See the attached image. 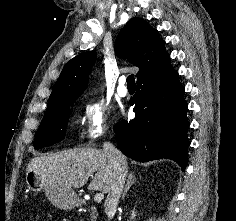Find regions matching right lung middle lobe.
<instances>
[{
    "mask_svg": "<svg viewBox=\"0 0 236 221\" xmlns=\"http://www.w3.org/2000/svg\"><path fill=\"white\" fill-rule=\"evenodd\" d=\"M75 100L68 101L46 112L34 141V147L36 149L53 145L64 139L65 128L69 120V108Z\"/></svg>",
    "mask_w": 236,
    "mask_h": 221,
    "instance_id": "1",
    "label": "right lung middle lobe"
}]
</instances>
